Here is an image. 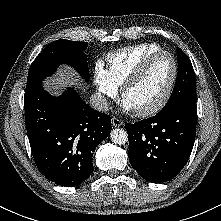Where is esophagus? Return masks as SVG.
<instances>
[{"mask_svg": "<svg viewBox=\"0 0 221 221\" xmlns=\"http://www.w3.org/2000/svg\"><path fill=\"white\" fill-rule=\"evenodd\" d=\"M111 121H112L113 126L115 127H120L123 124V122L116 117H113Z\"/></svg>", "mask_w": 221, "mask_h": 221, "instance_id": "1", "label": "esophagus"}]
</instances>
